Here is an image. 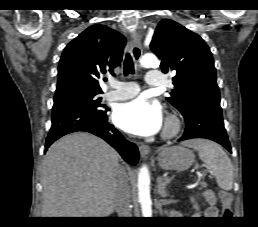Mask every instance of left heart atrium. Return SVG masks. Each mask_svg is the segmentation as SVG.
Here are the masks:
<instances>
[{"label":"left heart atrium","instance_id":"left-heart-atrium-1","mask_svg":"<svg viewBox=\"0 0 258 227\" xmlns=\"http://www.w3.org/2000/svg\"><path fill=\"white\" fill-rule=\"evenodd\" d=\"M114 122L129 133L153 135L162 127V109L158 102L139 97L119 105L114 113Z\"/></svg>","mask_w":258,"mask_h":227}]
</instances>
